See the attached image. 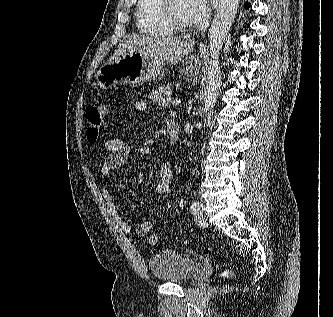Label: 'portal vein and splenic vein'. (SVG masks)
Listing matches in <instances>:
<instances>
[{
    "mask_svg": "<svg viewBox=\"0 0 333 317\" xmlns=\"http://www.w3.org/2000/svg\"><path fill=\"white\" fill-rule=\"evenodd\" d=\"M166 101L170 102L172 105H179L181 102L180 100L172 99V98H167Z\"/></svg>",
    "mask_w": 333,
    "mask_h": 317,
    "instance_id": "portal-vein-and-splenic-vein-1",
    "label": "portal vein and splenic vein"
}]
</instances>
